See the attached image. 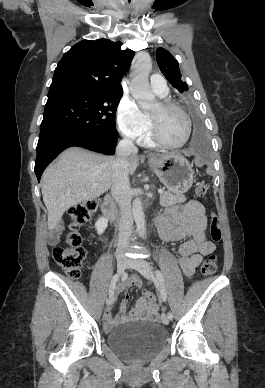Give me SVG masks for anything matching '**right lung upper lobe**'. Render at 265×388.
<instances>
[{
  "label": "right lung upper lobe",
  "mask_w": 265,
  "mask_h": 388,
  "mask_svg": "<svg viewBox=\"0 0 265 388\" xmlns=\"http://www.w3.org/2000/svg\"><path fill=\"white\" fill-rule=\"evenodd\" d=\"M120 47L107 39L80 41L58 63L48 94L122 89L120 82L134 52Z\"/></svg>",
  "instance_id": "right-lung-upper-lobe-1"
}]
</instances>
